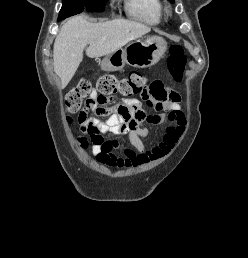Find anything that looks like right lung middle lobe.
<instances>
[{"instance_id":"right-lung-middle-lobe-1","label":"right lung middle lobe","mask_w":248,"mask_h":258,"mask_svg":"<svg viewBox=\"0 0 248 258\" xmlns=\"http://www.w3.org/2000/svg\"><path fill=\"white\" fill-rule=\"evenodd\" d=\"M106 0H62L63 6L59 13L58 21L76 15L86 10L89 12H102Z\"/></svg>"}]
</instances>
